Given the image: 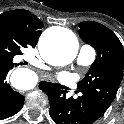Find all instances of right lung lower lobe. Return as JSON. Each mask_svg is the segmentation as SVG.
I'll return each instance as SVG.
<instances>
[{
  "instance_id": "obj_1",
  "label": "right lung lower lobe",
  "mask_w": 124,
  "mask_h": 124,
  "mask_svg": "<svg viewBox=\"0 0 124 124\" xmlns=\"http://www.w3.org/2000/svg\"><path fill=\"white\" fill-rule=\"evenodd\" d=\"M14 65L11 60L0 58V120L18 113L24 103L25 97L8 84V73Z\"/></svg>"
}]
</instances>
